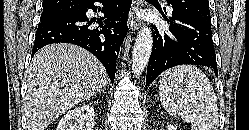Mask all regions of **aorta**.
Masks as SVG:
<instances>
[{
    "label": "aorta",
    "instance_id": "aorta-1",
    "mask_svg": "<svg viewBox=\"0 0 249 130\" xmlns=\"http://www.w3.org/2000/svg\"><path fill=\"white\" fill-rule=\"evenodd\" d=\"M153 45V36L150 27L143 26L134 43L132 53V71L138 77L146 68Z\"/></svg>",
    "mask_w": 249,
    "mask_h": 130
}]
</instances>
